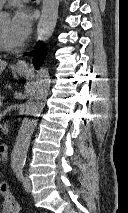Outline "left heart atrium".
Masks as SVG:
<instances>
[{"mask_svg": "<svg viewBox=\"0 0 128 213\" xmlns=\"http://www.w3.org/2000/svg\"><path fill=\"white\" fill-rule=\"evenodd\" d=\"M31 24L30 12L23 6L16 7L11 19V37L16 45H21L27 40Z\"/></svg>", "mask_w": 128, "mask_h": 213, "instance_id": "obj_1", "label": "left heart atrium"}]
</instances>
